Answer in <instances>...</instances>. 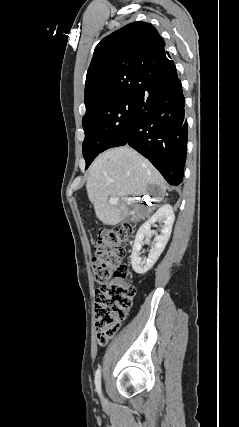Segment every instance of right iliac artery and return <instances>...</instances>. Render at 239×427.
I'll use <instances>...</instances> for the list:
<instances>
[{
    "label": "right iliac artery",
    "mask_w": 239,
    "mask_h": 427,
    "mask_svg": "<svg viewBox=\"0 0 239 427\" xmlns=\"http://www.w3.org/2000/svg\"><path fill=\"white\" fill-rule=\"evenodd\" d=\"M95 386L99 395H101V370L100 368L96 371L95 374Z\"/></svg>",
    "instance_id": "obj_1"
}]
</instances>
